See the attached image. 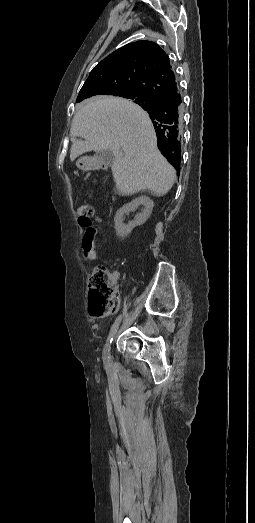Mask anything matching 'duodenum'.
Masks as SVG:
<instances>
[{
  "instance_id": "duodenum-1",
  "label": "duodenum",
  "mask_w": 255,
  "mask_h": 523,
  "mask_svg": "<svg viewBox=\"0 0 255 523\" xmlns=\"http://www.w3.org/2000/svg\"><path fill=\"white\" fill-rule=\"evenodd\" d=\"M83 168L86 170H98L105 167V163L98 157H87L82 161Z\"/></svg>"
}]
</instances>
